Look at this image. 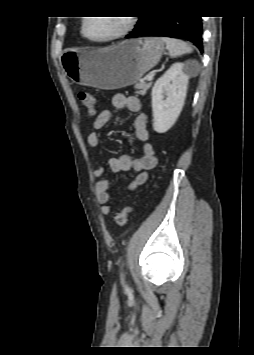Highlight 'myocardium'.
Returning a JSON list of instances; mask_svg holds the SVG:
<instances>
[{"instance_id": "f54148a6", "label": "myocardium", "mask_w": 254, "mask_h": 355, "mask_svg": "<svg viewBox=\"0 0 254 355\" xmlns=\"http://www.w3.org/2000/svg\"><path fill=\"white\" fill-rule=\"evenodd\" d=\"M123 17L125 19L124 27L119 32H117L116 34H114L113 36H110L108 38L96 39V38L89 37L85 32V27H86V23H87L88 18H84V20L82 22L81 33L84 36V38H86L87 40L94 42V43H106V42L118 40V39L126 36L134 28V26L136 24V19L134 18V16L128 15V16H123Z\"/></svg>"}]
</instances>
